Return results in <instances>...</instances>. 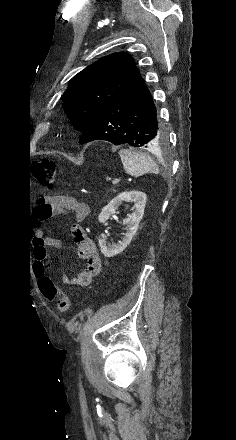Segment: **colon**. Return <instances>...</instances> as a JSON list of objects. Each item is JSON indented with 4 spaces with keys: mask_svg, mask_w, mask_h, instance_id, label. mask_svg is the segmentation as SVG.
Masks as SVG:
<instances>
[{
    "mask_svg": "<svg viewBox=\"0 0 236 440\" xmlns=\"http://www.w3.org/2000/svg\"><path fill=\"white\" fill-rule=\"evenodd\" d=\"M55 173L56 164L52 159L43 158L35 165V178L42 187L51 188L53 186ZM39 289L48 300L56 302L59 311L66 313L70 310L69 297L62 293L49 277L45 276L40 281Z\"/></svg>",
    "mask_w": 236,
    "mask_h": 440,
    "instance_id": "1",
    "label": "colon"
}]
</instances>
